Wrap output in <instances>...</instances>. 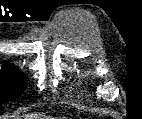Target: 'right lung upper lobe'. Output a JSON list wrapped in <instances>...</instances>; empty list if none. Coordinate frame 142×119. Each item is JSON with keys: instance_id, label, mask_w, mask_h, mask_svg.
I'll use <instances>...</instances> for the list:
<instances>
[{"instance_id": "obj_1", "label": "right lung upper lobe", "mask_w": 142, "mask_h": 119, "mask_svg": "<svg viewBox=\"0 0 142 119\" xmlns=\"http://www.w3.org/2000/svg\"><path fill=\"white\" fill-rule=\"evenodd\" d=\"M12 69H17V68L11 64H5L2 70H12Z\"/></svg>"}]
</instances>
